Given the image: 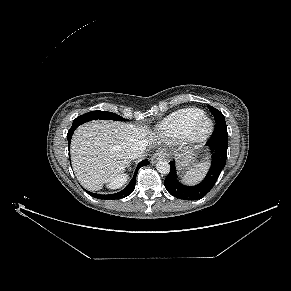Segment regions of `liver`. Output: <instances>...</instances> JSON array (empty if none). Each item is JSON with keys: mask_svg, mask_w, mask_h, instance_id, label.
Instances as JSON below:
<instances>
[{"mask_svg": "<svg viewBox=\"0 0 291 291\" xmlns=\"http://www.w3.org/2000/svg\"><path fill=\"white\" fill-rule=\"evenodd\" d=\"M154 138L147 127L114 121H94L77 128L71 140V162L80 184L90 191L124 175L131 163L128 151L139 142Z\"/></svg>", "mask_w": 291, "mask_h": 291, "instance_id": "1", "label": "liver"}]
</instances>
